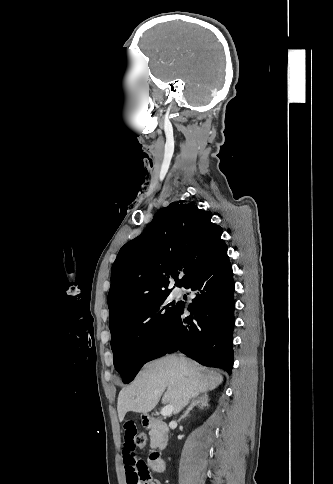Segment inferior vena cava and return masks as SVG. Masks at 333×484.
Segmentation results:
<instances>
[{
	"label": "inferior vena cava",
	"instance_id": "1",
	"mask_svg": "<svg viewBox=\"0 0 333 484\" xmlns=\"http://www.w3.org/2000/svg\"><path fill=\"white\" fill-rule=\"evenodd\" d=\"M180 361H181L182 364H185L186 363V361H185V359L183 357H180Z\"/></svg>",
	"mask_w": 333,
	"mask_h": 484
}]
</instances>
